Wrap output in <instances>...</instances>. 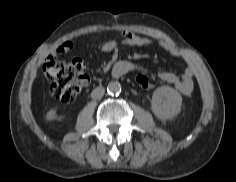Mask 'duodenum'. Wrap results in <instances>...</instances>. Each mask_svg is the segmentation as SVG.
<instances>
[{
  "mask_svg": "<svg viewBox=\"0 0 236 182\" xmlns=\"http://www.w3.org/2000/svg\"><path fill=\"white\" fill-rule=\"evenodd\" d=\"M130 71H131V67L127 63L120 62L113 69V75L115 77H123L127 75Z\"/></svg>",
  "mask_w": 236,
  "mask_h": 182,
  "instance_id": "duodenum-1",
  "label": "duodenum"
}]
</instances>
